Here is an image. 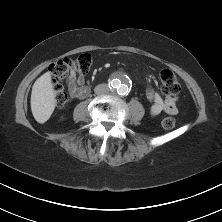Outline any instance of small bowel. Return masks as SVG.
Masks as SVG:
<instances>
[{"label":"small bowel","mask_w":222,"mask_h":222,"mask_svg":"<svg viewBox=\"0 0 222 222\" xmlns=\"http://www.w3.org/2000/svg\"><path fill=\"white\" fill-rule=\"evenodd\" d=\"M66 84L72 99H80L87 96L88 89L85 85L84 76L72 72L67 77ZM146 96L151 103V116L156 117L162 112L169 115L177 114L178 110L173 100H164L161 95L152 88L147 89Z\"/></svg>","instance_id":"obj_1"}]
</instances>
